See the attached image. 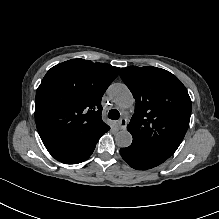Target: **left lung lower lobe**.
<instances>
[{"mask_svg":"<svg viewBox=\"0 0 219 219\" xmlns=\"http://www.w3.org/2000/svg\"><path fill=\"white\" fill-rule=\"evenodd\" d=\"M120 154L132 168L137 170L151 169L166 160L134 142L129 147L121 148Z\"/></svg>","mask_w":219,"mask_h":219,"instance_id":"obj_1","label":"left lung lower lobe"}]
</instances>
